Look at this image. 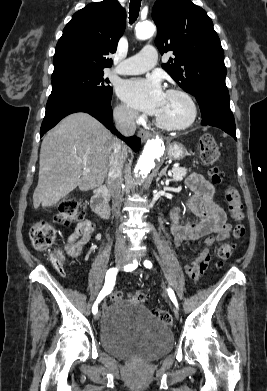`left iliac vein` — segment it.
<instances>
[{"mask_svg":"<svg viewBox=\"0 0 267 391\" xmlns=\"http://www.w3.org/2000/svg\"><path fill=\"white\" fill-rule=\"evenodd\" d=\"M129 261H130V257H127V263H129ZM173 311H174L175 318L179 319V312L177 311V309L174 308Z\"/></svg>","mask_w":267,"mask_h":391,"instance_id":"obj_1","label":"left iliac vein"}]
</instances>
